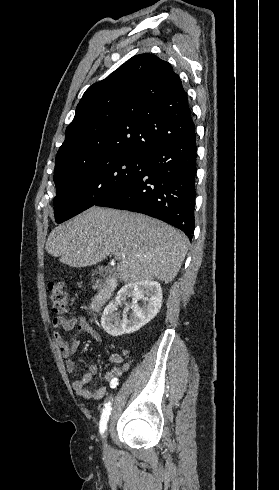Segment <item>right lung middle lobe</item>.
Returning a JSON list of instances; mask_svg holds the SVG:
<instances>
[{"label":"right lung middle lobe","mask_w":279,"mask_h":490,"mask_svg":"<svg viewBox=\"0 0 279 490\" xmlns=\"http://www.w3.org/2000/svg\"><path fill=\"white\" fill-rule=\"evenodd\" d=\"M144 162L145 158L132 155H106L54 177L56 222L72 218L139 177Z\"/></svg>","instance_id":"1"}]
</instances>
